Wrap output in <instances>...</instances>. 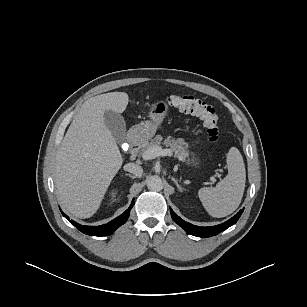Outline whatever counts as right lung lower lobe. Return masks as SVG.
<instances>
[{
	"label": "right lung lower lobe",
	"mask_w": 307,
	"mask_h": 307,
	"mask_svg": "<svg viewBox=\"0 0 307 307\" xmlns=\"http://www.w3.org/2000/svg\"><path fill=\"white\" fill-rule=\"evenodd\" d=\"M133 205H134V201H132L131 206L122 215H120L119 217L113 219L112 221L104 225L82 226L78 223H75L73 220H70V223L75 224L77 229L83 232L84 234L91 235V236H107V235L112 234L118 227H120L127 221L130 210L133 207ZM62 214L65 218L68 219L67 215H65L63 212Z\"/></svg>",
	"instance_id": "obj_1"
}]
</instances>
